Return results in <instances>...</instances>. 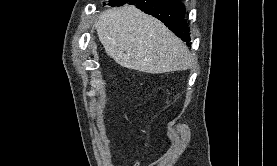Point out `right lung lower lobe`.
Returning a JSON list of instances; mask_svg holds the SVG:
<instances>
[{
    "mask_svg": "<svg viewBox=\"0 0 277 166\" xmlns=\"http://www.w3.org/2000/svg\"><path fill=\"white\" fill-rule=\"evenodd\" d=\"M135 5L161 20L172 32L187 43L190 33L185 20V7L178 0H118L110 6Z\"/></svg>",
    "mask_w": 277,
    "mask_h": 166,
    "instance_id": "obj_1",
    "label": "right lung lower lobe"
}]
</instances>
